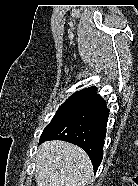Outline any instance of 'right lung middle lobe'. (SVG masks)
<instances>
[{
  "mask_svg": "<svg viewBox=\"0 0 138 186\" xmlns=\"http://www.w3.org/2000/svg\"><path fill=\"white\" fill-rule=\"evenodd\" d=\"M93 96L90 90H80L71 95L58 109L52 121L44 129L42 136L50 132L58 123L88 103Z\"/></svg>",
  "mask_w": 138,
  "mask_h": 186,
  "instance_id": "obj_1",
  "label": "right lung middle lobe"
}]
</instances>
